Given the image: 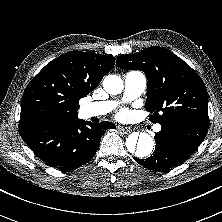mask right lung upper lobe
<instances>
[{"label": "right lung upper lobe", "mask_w": 222, "mask_h": 222, "mask_svg": "<svg viewBox=\"0 0 222 222\" xmlns=\"http://www.w3.org/2000/svg\"><path fill=\"white\" fill-rule=\"evenodd\" d=\"M114 63L111 55L82 51L65 53L48 63L23 94L19 130L77 121L79 100L97 87Z\"/></svg>", "instance_id": "cb5924a9"}]
</instances>
